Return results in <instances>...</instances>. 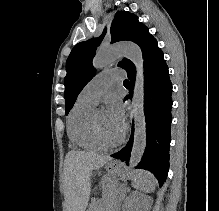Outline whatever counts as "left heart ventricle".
<instances>
[{
	"label": "left heart ventricle",
	"instance_id": "left-heart-ventricle-1",
	"mask_svg": "<svg viewBox=\"0 0 219 211\" xmlns=\"http://www.w3.org/2000/svg\"><path fill=\"white\" fill-rule=\"evenodd\" d=\"M97 121L99 123L100 128L102 131L110 137H115L120 134L121 131L115 129L107 116L106 110L104 108H100L97 112Z\"/></svg>",
	"mask_w": 219,
	"mask_h": 211
}]
</instances>
